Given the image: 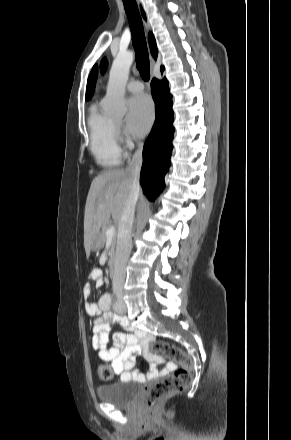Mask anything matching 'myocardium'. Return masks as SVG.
Wrapping results in <instances>:
<instances>
[{"instance_id": "f54148a6", "label": "myocardium", "mask_w": 291, "mask_h": 440, "mask_svg": "<svg viewBox=\"0 0 291 440\" xmlns=\"http://www.w3.org/2000/svg\"><path fill=\"white\" fill-rule=\"evenodd\" d=\"M115 127H116V129L119 127V123H116L115 122Z\"/></svg>"}]
</instances>
